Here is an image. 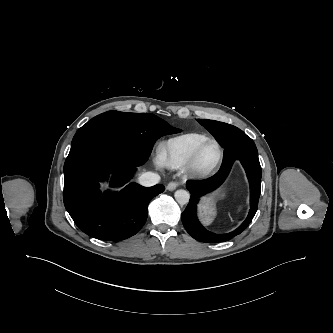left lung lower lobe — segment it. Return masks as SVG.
Returning <instances> with one entry per match:
<instances>
[{
  "mask_svg": "<svg viewBox=\"0 0 333 333\" xmlns=\"http://www.w3.org/2000/svg\"><path fill=\"white\" fill-rule=\"evenodd\" d=\"M235 160L243 165L250 184V211L245 221L234 231L227 234H215L207 231L196 216V204L199 197L221 186L227 179ZM262 170L258 159V151L253 140L244 132L233 136L224 147V160L219 171L213 176L198 181H188L187 188L191 192L189 204L181 215L187 232L197 241L218 243L229 241L242 233L252 221L258 207L261 188Z\"/></svg>",
  "mask_w": 333,
  "mask_h": 333,
  "instance_id": "left-lung-lower-lobe-1",
  "label": "left lung lower lobe"
}]
</instances>
